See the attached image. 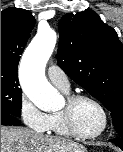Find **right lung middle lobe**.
<instances>
[{
  "label": "right lung middle lobe",
  "mask_w": 123,
  "mask_h": 152,
  "mask_svg": "<svg viewBox=\"0 0 123 152\" xmlns=\"http://www.w3.org/2000/svg\"><path fill=\"white\" fill-rule=\"evenodd\" d=\"M22 90L16 72L1 71V115L20 116Z\"/></svg>",
  "instance_id": "1"
}]
</instances>
